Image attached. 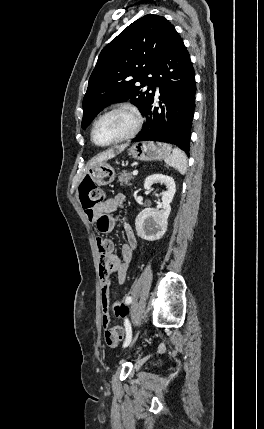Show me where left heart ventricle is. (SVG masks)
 I'll return each mask as SVG.
<instances>
[{"label":"left heart ventricle","instance_id":"1","mask_svg":"<svg viewBox=\"0 0 264 429\" xmlns=\"http://www.w3.org/2000/svg\"><path fill=\"white\" fill-rule=\"evenodd\" d=\"M133 126V119L124 113H115L99 122L95 130V139L105 144L126 135Z\"/></svg>","mask_w":264,"mask_h":429}]
</instances>
